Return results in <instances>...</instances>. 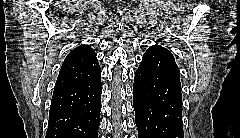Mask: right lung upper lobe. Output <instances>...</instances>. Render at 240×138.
Segmentation results:
<instances>
[{"label":"right lung upper lobe","mask_w":240,"mask_h":138,"mask_svg":"<svg viewBox=\"0 0 240 138\" xmlns=\"http://www.w3.org/2000/svg\"><path fill=\"white\" fill-rule=\"evenodd\" d=\"M101 73L94 50L88 45L74 48L60 69L54 92L86 83Z\"/></svg>","instance_id":"cb5924a9"}]
</instances>
